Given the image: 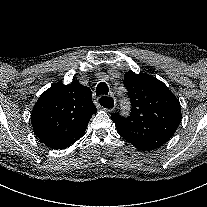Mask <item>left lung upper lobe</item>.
Wrapping results in <instances>:
<instances>
[{"instance_id":"obj_1","label":"left lung upper lobe","mask_w":207,"mask_h":207,"mask_svg":"<svg viewBox=\"0 0 207 207\" xmlns=\"http://www.w3.org/2000/svg\"><path fill=\"white\" fill-rule=\"evenodd\" d=\"M124 85L132 111L127 118L111 115L119 135L141 150L162 146L181 122L179 100L162 81L147 74L127 72Z\"/></svg>"}]
</instances>
